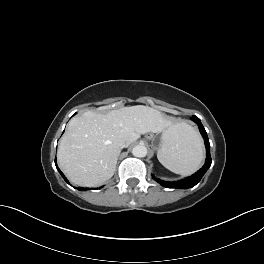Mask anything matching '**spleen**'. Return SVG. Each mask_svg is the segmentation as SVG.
Wrapping results in <instances>:
<instances>
[{
  "mask_svg": "<svg viewBox=\"0 0 264 264\" xmlns=\"http://www.w3.org/2000/svg\"><path fill=\"white\" fill-rule=\"evenodd\" d=\"M203 153V142L198 132L190 125L180 123L158 150L157 158L170 171L185 176L198 170Z\"/></svg>",
  "mask_w": 264,
  "mask_h": 264,
  "instance_id": "3e777b00",
  "label": "spleen"
}]
</instances>
